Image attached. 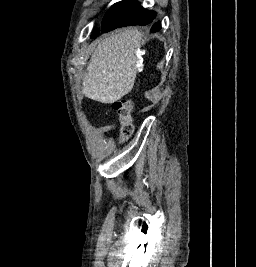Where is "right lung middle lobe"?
Instances as JSON below:
<instances>
[{
    "mask_svg": "<svg viewBox=\"0 0 256 267\" xmlns=\"http://www.w3.org/2000/svg\"><path fill=\"white\" fill-rule=\"evenodd\" d=\"M140 4L134 0L118 2L111 6L106 12L101 25L103 33L109 32L116 28V25L125 17L129 16ZM99 34V30L95 29L92 38Z\"/></svg>",
    "mask_w": 256,
    "mask_h": 267,
    "instance_id": "1",
    "label": "right lung middle lobe"
}]
</instances>
